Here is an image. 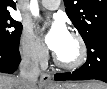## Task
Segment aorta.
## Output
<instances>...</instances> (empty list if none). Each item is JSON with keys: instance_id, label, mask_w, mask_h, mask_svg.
Segmentation results:
<instances>
[{"instance_id": "762f6f07", "label": "aorta", "mask_w": 107, "mask_h": 89, "mask_svg": "<svg viewBox=\"0 0 107 89\" xmlns=\"http://www.w3.org/2000/svg\"><path fill=\"white\" fill-rule=\"evenodd\" d=\"M30 11L33 16L37 17L39 15V8L37 0L30 1Z\"/></svg>"}]
</instances>
